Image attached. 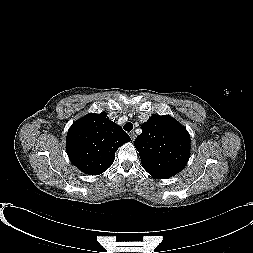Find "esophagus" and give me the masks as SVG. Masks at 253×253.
Instances as JSON below:
<instances>
[{"label":"esophagus","mask_w":253,"mask_h":253,"mask_svg":"<svg viewBox=\"0 0 253 253\" xmlns=\"http://www.w3.org/2000/svg\"><path fill=\"white\" fill-rule=\"evenodd\" d=\"M129 136L131 137V140L134 141L136 134L134 131L129 132Z\"/></svg>","instance_id":"obj_1"}]
</instances>
